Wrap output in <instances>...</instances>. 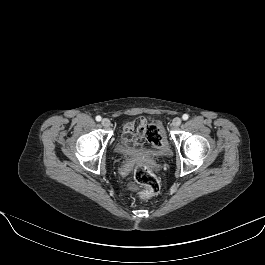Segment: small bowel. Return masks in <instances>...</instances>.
Segmentation results:
<instances>
[{
    "label": "small bowel",
    "mask_w": 265,
    "mask_h": 265,
    "mask_svg": "<svg viewBox=\"0 0 265 265\" xmlns=\"http://www.w3.org/2000/svg\"><path fill=\"white\" fill-rule=\"evenodd\" d=\"M141 121V123L139 122ZM146 123L144 119H139L130 123H127L123 130L122 139L126 145L133 144L134 146H140L143 143V135L139 130V125Z\"/></svg>",
    "instance_id": "c3829d8e"
}]
</instances>
